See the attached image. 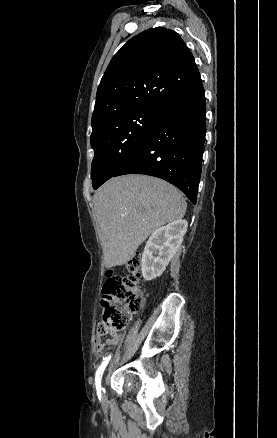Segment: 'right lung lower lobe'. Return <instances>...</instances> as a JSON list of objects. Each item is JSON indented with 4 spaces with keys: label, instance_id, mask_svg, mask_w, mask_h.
<instances>
[{
    "label": "right lung lower lobe",
    "instance_id": "1",
    "mask_svg": "<svg viewBox=\"0 0 277 438\" xmlns=\"http://www.w3.org/2000/svg\"><path fill=\"white\" fill-rule=\"evenodd\" d=\"M172 65L165 64L167 71ZM206 134L205 92L201 80L161 105L143 143L113 174H146L178 187L195 204Z\"/></svg>",
    "mask_w": 277,
    "mask_h": 438
}]
</instances>
